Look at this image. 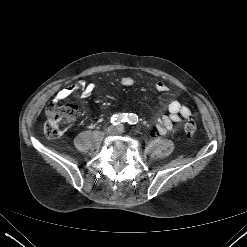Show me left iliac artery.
I'll return each instance as SVG.
<instances>
[{
  "instance_id": "44dca946",
  "label": "left iliac artery",
  "mask_w": 247,
  "mask_h": 247,
  "mask_svg": "<svg viewBox=\"0 0 247 247\" xmlns=\"http://www.w3.org/2000/svg\"><path fill=\"white\" fill-rule=\"evenodd\" d=\"M136 121H138L137 117L135 116V114H130L129 115V119H128V123L133 125L136 124Z\"/></svg>"
}]
</instances>
